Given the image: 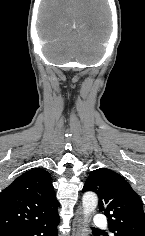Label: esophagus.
I'll use <instances>...</instances> for the list:
<instances>
[{"label": "esophagus", "instance_id": "esophagus-1", "mask_svg": "<svg viewBox=\"0 0 145 236\" xmlns=\"http://www.w3.org/2000/svg\"><path fill=\"white\" fill-rule=\"evenodd\" d=\"M83 213L81 207L76 210L73 220L72 236H80L82 229Z\"/></svg>", "mask_w": 145, "mask_h": 236}]
</instances>
